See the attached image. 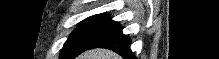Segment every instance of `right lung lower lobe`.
Returning <instances> with one entry per match:
<instances>
[{"label": "right lung lower lobe", "mask_w": 219, "mask_h": 59, "mask_svg": "<svg viewBox=\"0 0 219 59\" xmlns=\"http://www.w3.org/2000/svg\"><path fill=\"white\" fill-rule=\"evenodd\" d=\"M130 44V38L122 33V27L119 26L96 42L92 48H107L115 51L125 59H136L130 50Z\"/></svg>", "instance_id": "obj_1"}]
</instances>
